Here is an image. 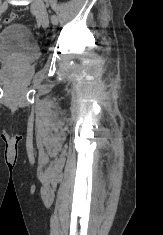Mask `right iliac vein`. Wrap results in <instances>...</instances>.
<instances>
[{"instance_id":"obj_1","label":"right iliac vein","mask_w":163,"mask_h":235,"mask_svg":"<svg viewBox=\"0 0 163 235\" xmlns=\"http://www.w3.org/2000/svg\"><path fill=\"white\" fill-rule=\"evenodd\" d=\"M1 6H2V0H0V8H1Z\"/></svg>"}]
</instances>
